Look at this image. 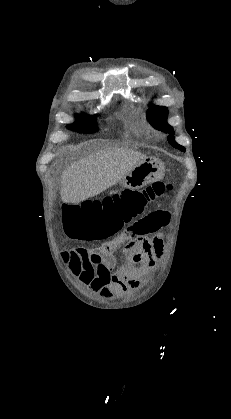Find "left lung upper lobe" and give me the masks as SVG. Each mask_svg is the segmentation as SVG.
I'll use <instances>...</instances> for the list:
<instances>
[{"instance_id":"left-lung-upper-lobe-1","label":"left lung upper lobe","mask_w":231,"mask_h":419,"mask_svg":"<svg viewBox=\"0 0 231 419\" xmlns=\"http://www.w3.org/2000/svg\"><path fill=\"white\" fill-rule=\"evenodd\" d=\"M150 106H153L152 104ZM168 116V110L166 107L161 106H154L148 109L147 111V118L150 123L157 129L161 130L162 132L169 133L168 136L169 143L181 151H185V148L174 140V130L173 128L166 122Z\"/></svg>"}]
</instances>
